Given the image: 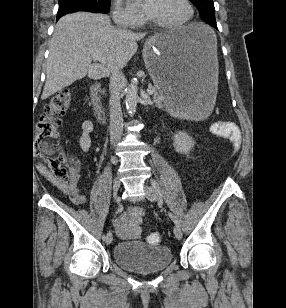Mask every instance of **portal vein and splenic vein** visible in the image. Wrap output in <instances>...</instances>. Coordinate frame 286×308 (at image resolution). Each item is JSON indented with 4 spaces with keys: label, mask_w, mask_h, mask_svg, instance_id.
I'll return each instance as SVG.
<instances>
[{
    "label": "portal vein and splenic vein",
    "mask_w": 286,
    "mask_h": 308,
    "mask_svg": "<svg viewBox=\"0 0 286 308\" xmlns=\"http://www.w3.org/2000/svg\"><path fill=\"white\" fill-rule=\"evenodd\" d=\"M90 53L93 59L100 61L102 64H106L105 57L102 55V53H100L99 51H95V50H91ZM154 92L155 90L151 87L147 89V93L149 95H152Z\"/></svg>",
    "instance_id": "18ae733b"
}]
</instances>
